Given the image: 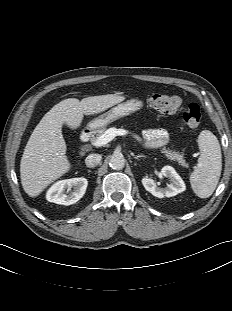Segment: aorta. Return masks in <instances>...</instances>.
<instances>
[{
	"mask_svg": "<svg viewBox=\"0 0 232 311\" xmlns=\"http://www.w3.org/2000/svg\"><path fill=\"white\" fill-rule=\"evenodd\" d=\"M109 165L112 169L120 170L125 166V158L122 154H113L111 156Z\"/></svg>",
	"mask_w": 232,
	"mask_h": 311,
	"instance_id": "1",
	"label": "aorta"
}]
</instances>
